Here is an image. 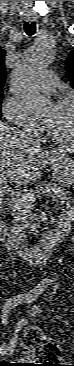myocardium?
<instances>
[{
	"label": "myocardium",
	"instance_id": "myocardium-1",
	"mask_svg": "<svg viewBox=\"0 0 74 366\" xmlns=\"http://www.w3.org/2000/svg\"><path fill=\"white\" fill-rule=\"evenodd\" d=\"M56 106L57 107L68 106L70 108L71 117H72V125H73V136L67 137V138H62L50 130H47L46 133L52 139L53 142L74 146V100L71 97L66 96V97L60 99Z\"/></svg>",
	"mask_w": 74,
	"mask_h": 366
}]
</instances>
